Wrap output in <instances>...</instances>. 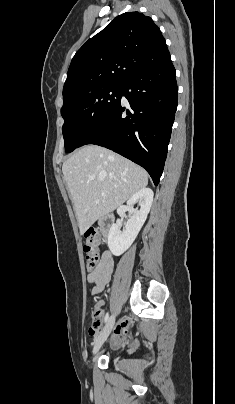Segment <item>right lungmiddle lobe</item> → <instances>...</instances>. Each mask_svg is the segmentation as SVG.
<instances>
[{"instance_id":"dd1d6c3e","label":"right lung middle lobe","mask_w":235,"mask_h":404,"mask_svg":"<svg viewBox=\"0 0 235 404\" xmlns=\"http://www.w3.org/2000/svg\"><path fill=\"white\" fill-rule=\"evenodd\" d=\"M121 97L122 85H112L86 93L63 104L62 131L67 153L79 147L83 139L118 105Z\"/></svg>"}]
</instances>
